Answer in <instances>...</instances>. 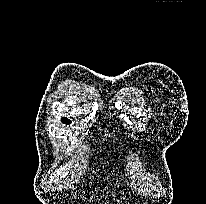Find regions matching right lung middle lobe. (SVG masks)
I'll return each mask as SVG.
<instances>
[{"label":"right lung middle lobe","mask_w":206,"mask_h":204,"mask_svg":"<svg viewBox=\"0 0 206 204\" xmlns=\"http://www.w3.org/2000/svg\"><path fill=\"white\" fill-rule=\"evenodd\" d=\"M62 122L66 124H70L71 121L67 118H62Z\"/></svg>","instance_id":"obj_1"}]
</instances>
